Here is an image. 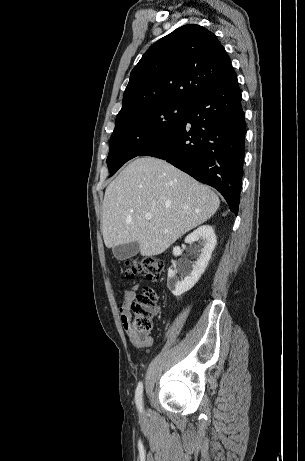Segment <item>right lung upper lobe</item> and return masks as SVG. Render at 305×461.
<instances>
[{"instance_id":"cb5924a9","label":"right lung upper lobe","mask_w":305,"mask_h":461,"mask_svg":"<svg viewBox=\"0 0 305 461\" xmlns=\"http://www.w3.org/2000/svg\"><path fill=\"white\" fill-rule=\"evenodd\" d=\"M235 74L209 30L184 25L154 43L130 74L116 121L163 103H190Z\"/></svg>"}]
</instances>
